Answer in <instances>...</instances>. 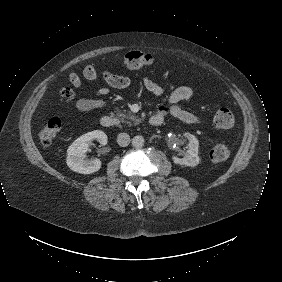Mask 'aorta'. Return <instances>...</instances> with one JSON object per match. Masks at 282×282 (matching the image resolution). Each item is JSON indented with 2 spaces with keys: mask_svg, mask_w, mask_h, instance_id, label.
Segmentation results:
<instances>
[{
  "mask_svg": "<svg viewBox=\"0 0 282 282\" xmlns=\"http://www.w3.org/2000/svg\"><path fill=\"white\" fill-rule=\"evenodd\" d=\"M145 144L144 137L141 135H136L132 138V146L134 148H142Z\"/></svg>",
  "mask_w": 282,
  "mask_h": 282,
  "instance_id": "obj_1",
  "label": "aorta"
}]
</instances>
